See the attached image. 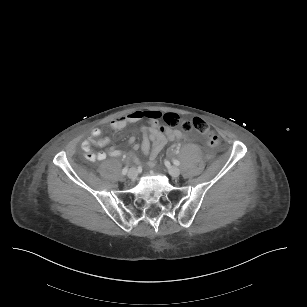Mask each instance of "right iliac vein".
<instances>
[{
    "instance_id": "obj_1",
    "label": "right iliac vein",
    "mask_w": 307,
    "mask_h": 307,
    "mask_svg": "<svg viewBox=\"0 0 307 307\" xmlns=\"http://www.w3.org/2000/svg\"><path fill=\"white\" fill-rule=\"evenodd\" d=\"M127 176L131 179V180H135L138 176V172L135 168H130L128 173H127Z\"/></svg>"
}]
</instances>
